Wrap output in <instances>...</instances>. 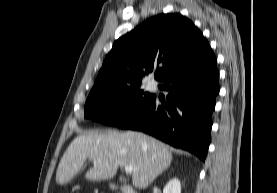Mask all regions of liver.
<instances>
[{"instance_id": "1", "label": "liver", "mask_w": 277, "mask_h": 193, "mask_svg": "<svg viewBox=\"0 0 277 193\" xmlns=\"http://www.w3.org/2000/svg\"><path fill=\"white\" fill-rule=\"evenodd\" d=\"M172 158L168 145L141 132L89 131L68 146L58 165L56 182L69 183L89 159L93 167L85 174L86 179H111L119 166H132L133 186L145 189L170 166Z\"/></svg>"}]
</instances>
